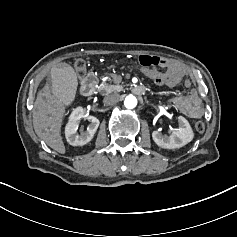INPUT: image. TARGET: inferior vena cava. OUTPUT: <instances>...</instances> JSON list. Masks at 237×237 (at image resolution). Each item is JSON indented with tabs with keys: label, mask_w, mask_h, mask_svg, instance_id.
Returning a JSON list of instances; mask_svg holds the SVG:
<instances>
[{
	"label": "inferior vena cava",
	"mask_w": 237,
	"mask_h": 237,
	"mask_svg": "<svg viewBox=\"0 0 237 237\" xmlns=\"http://www.w3.org/2000/svg\"><path fill=\"white\" fill-rule=\"evenodd\" d=\"M118 100H119L118 94H110L104 97L103 103L105 105H110V104L116 103Z\"/></svg>",
	"instance_id": "inferior-vena-cava-1"
}]
</instances>
